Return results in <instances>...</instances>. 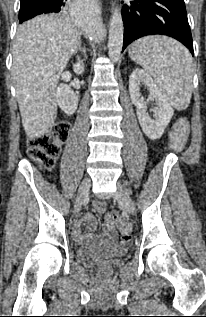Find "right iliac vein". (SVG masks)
<instances>
[{
    "instance_id": "63e3f726",
    "label": "right iliac vein",
    "mask_w": 206,
    "mask_h": 317,
    "mask_svg": "<svg viewBox=\"0 0 206 317\" xmlns=\"http://www.w3.org/2000/svg\"><path fill=\"white\" fill-rule=\"evenodd\" d=\"M91 185V181L89 178H85L80 187H79V191H78V195L74 204V212L78 213L81 209L82 203L84 198L88 195L89 192V188Z\"/></svg>"
}]
</instances>
